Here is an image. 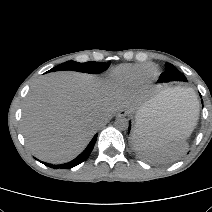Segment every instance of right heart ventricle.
I'll return each mask as SVG.
<instances>
[{"label":"right heart ventricle","instance_id":"obj_1","mask_svg":"<svg viewBox=\"0 0 212 212\" xmlns=\"http://www.w3.org/2000/svg\"><path fill=\"white\" fill-rule=\"evenodd\" d=\"M157 69L152 64H127L116 68L111 79L118 86H130L140 83L144 78L156 75Z\"/></svg>","mask_w":212,"mask_h":212}]
</instances>
